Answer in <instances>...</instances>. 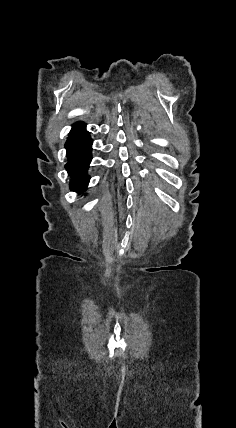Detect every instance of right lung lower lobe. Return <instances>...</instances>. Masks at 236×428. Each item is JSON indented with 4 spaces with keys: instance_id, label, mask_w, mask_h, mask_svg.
<instances>
[{
    "instance_id": "obj_1",
    "label": "right lung lower lobe",
    "mask_w": 236,
    "mask_h": 428,
    "mask_svg": "<svg viewBox=\"0 0 236 428\" xmlns=\"http://www.w3.org/2000/svg\"><path fill=\"white\" fill-rule=\"evenodd\" d=\"M92 139L85 130V124L77 122L69 134L65 144L68 163L66 169L71 175V190L82 192L86 189L89 176L87 169L91 161Z\"/></svg>"
}]
</instances>
